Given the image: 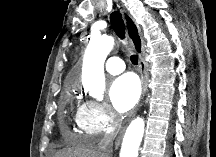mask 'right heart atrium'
Here are the masks:
<instances>
[{
	"mask_svg": "<svg viewBox=\"0 0 216 157\" xmlns=\"http://www.w3.org/2000/svg\"><path fill=\"white\" fill-rule=\"evenodd\" d=\"M76 124L86 135L103 136L111 133L119 119L112 109L103 102L88 100L76 114Z\"/></svg>",
	"mask_w": 216,
	"mask_h": 157,
	"instance_id": "obj_1",
	"label": "right heart atrium"
}]
</instances>
